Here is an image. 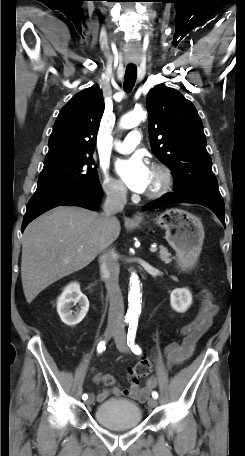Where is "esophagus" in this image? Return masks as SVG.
<instances>
[{
    "instance_id": "1",
    "label": "esophagus",
    "mask_w": 245,
    "mask_h": 456,
    "mask_svg": "<svg viewBox=\"0 0 245 456\" xmlns=\"http://www.w3.org/2000/svg\"><path fill=\"white\" fill-rule=\"evenodd\" d=\"M140 218H141V216L138 215V214H134V215H133V219H140Z\"/></svg>"
}]
</instances>
